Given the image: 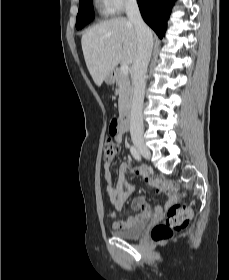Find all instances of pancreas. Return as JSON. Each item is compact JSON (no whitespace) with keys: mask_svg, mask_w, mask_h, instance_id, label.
<instances>
[{"mask_svg":"<svg viewBox=\"0 0 229 280\" xmlns=\"http://www.w3.org/2000/svg\"><path fill=\"white\" fill-rule=\"evenodd\" d=\"M116 81L118 85L117 93L119 95V112L123 113L131 102L133 85L131 83L130 77L128 75L122 74L121 72L117 73Z\"/></svg>","mask_w":229,"mask_h":280,"instance_id":"1","label":"pancreas"}]
</instances>
